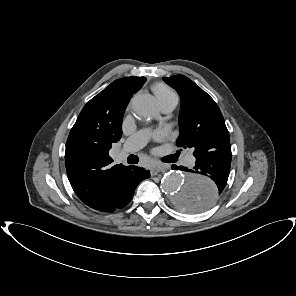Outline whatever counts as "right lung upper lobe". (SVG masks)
<instances>
[{
  "instance_id": "obj_1",
  "label": "right lung upper lobe",
  "mask_w": 296,
  "mask_h": 296,
  "mask_svg": "<svg viewBox=\"0 0 296 296\" xmlns=\"http://www.w3.org/2000/svg\"><path fill=\"white\" fill-rule=\"evenodd\" d=\"M145 77L115 80L82 109L66 143L65 165L69 182L78 198L99 210L118 188L124 172L113 165L111 145L122 136V119L132 95Z\"/></svg>"
}]
</instances>
